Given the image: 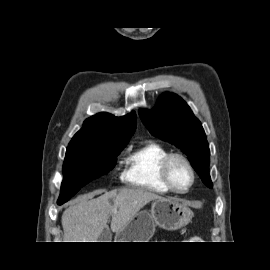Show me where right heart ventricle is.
Segmentation results:
<instances>
[{"instance_id": "right-heart-ventricle-1", "label": "right heart ventricle", "mask_w": 270, "mask_h": 270, "mask_svg": "<svg viewBox=\"0 0 270 270\" xmlns=\"http://www.w3.org/2000/svg\"><path fill=\"white\" fill-rule=\"evenodd\" d=\"M169 151L155 141L146 142L129 152L125 158L123 181L130 186L157 194L170 189L161 176V164Z\"/></svg>"}]
</instances>
